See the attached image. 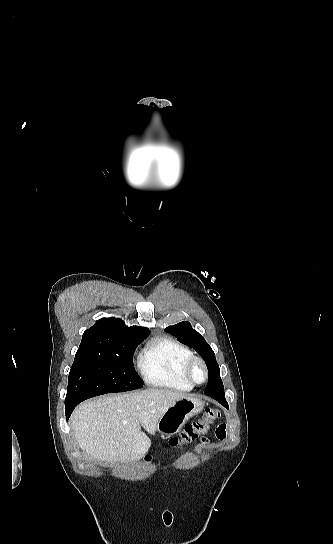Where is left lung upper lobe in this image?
<instances>
[{"instance_id":"left-lung-upper-lobe-1","label":"left lung upper lobe","mask_w":333,"mask_h":544,"mask_svg":"<svg viewBox=\"0 0 333 544\" xmlns=\"http://www.w3.org/2000/svg\"><path fill=\"white\" fill-rule=\"evenodd\" d=\"M166 331L177 337L181 343L195 349V351L205 360L209 381L204 393L224 392L223 382L219 375V366L216 362L215 354L205 341L204 337L192 329L191 324L187 321L169 326L166 328Z\"/></svg>"}]
</instances>
